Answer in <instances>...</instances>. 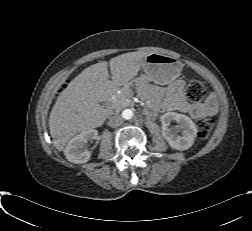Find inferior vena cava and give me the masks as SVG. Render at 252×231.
Wrapping results in <instances>:
<instances>
[{"label":"inferior vena cava","mask_w":252,"mask_h":231,"mask_svg":"<svg viewBox=\"0 0 252 231\" xmlns=\"http://www.w3.org/2000/svg\"><path fill=\"white\" fill-rule=\"evenodd\" d=\"M122 123V117L115 114L109 118L108 125L111 127H117Z\"/></svg>","instance_id":"602c4592"}]
</instances>
